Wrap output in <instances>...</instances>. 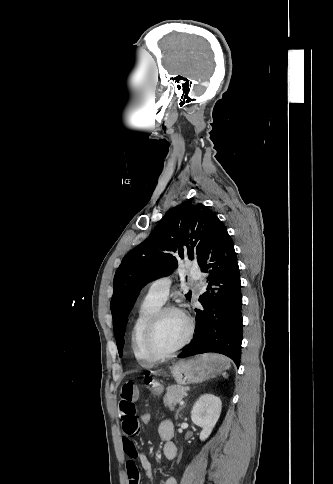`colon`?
<instances>
[{
  "label": "colon",
  "mask_w": 333,
  "mask_h": 484,
  "mask_svg": "<svg viewBox=\"0 0 333 484\" xmlns=\"http://www.w3.org/2000/svg\"><path fill=\"white\" fill-rule=\"evenodd\" d=\"M151 420H152V417H151V414L149 412H143L139 416V422H140L141 426H149L150 423H151Z\"/></svg>",
  "instance_id": "colon-1"
}]
</instances>
